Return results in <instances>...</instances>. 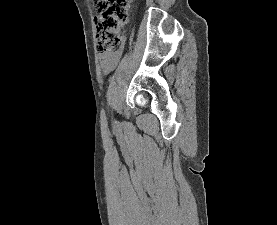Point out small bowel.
Returning a JSON list of instances; mask_svg holds the SVG:
<instances>
[{"label": "small bowel", "instance_id": "obj_1", "mask_svg": "<svg viewBox=\"0 0 277 225\" xmlns=\"http://www.w3.org/2000/svg\"><path fill=\"white\" fill-rule=\"evenodd\" d=\"M121 58V52L113 55H103L100 57V65L104 73H110Z\"/></svg>", "mask_w": 277, "mask_h": 225}]
</instances>
